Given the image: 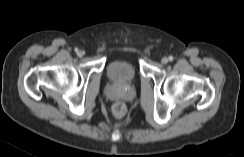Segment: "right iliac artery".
I'll return each instance as SVG.
<instances>
[{"label":"right iliac artery","mask_w":244,"mask_h":157,"mask_svg":"<svg viewBox=\"0 0 244 157\" xmlns=\"http://www.w3.org/2000/svg\"><path fill=\"white\" fill-rule=\"evenodd\" d=\"M75 52H76V53H78V52H79L78 48H75Z\"/></svg>","instance_id":"right-iliac-artery-1"}]
</instances>
